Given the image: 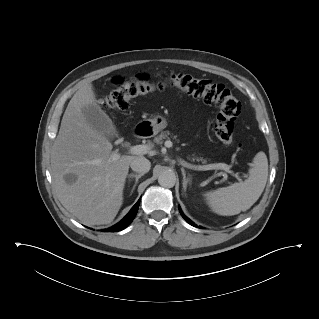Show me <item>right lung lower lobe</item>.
I'll use <instances>...</instances> for the list:
<instances>
[{"label": "right lung lower lobe", "mask_w": 319, "mask_h": 319, "mask_svg": "<svg viewBox=\"0 0 319 319\" xmlns=\"http://www.w3.org/2000/svg\"><path fill=\"white\" fill-rule=\"evenodd\" d=\"M140 204V199L138 200V202L132 207V209L130 210V212L126 215V217L124 219H122L119 223H117L116 225L103 230L104 232H118L120 230H123L124 228H126L135 218L137 211H138V207Z\"/></svg>", "instance_id": "98d812e1"}]
</instances>
